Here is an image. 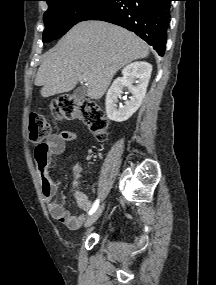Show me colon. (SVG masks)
Segmentation results:
<instances>
[{
	"label": "colon",
	"instance_id": "obj_1",
	"mask_svg": "<svg viewBox=\"0 0 216 285\" xmlns=\"http://www.w3.org/2000/svg\"><path fill=\"white\" fill-rule=\"evenodd\" d=\"M49 111L56 120H82L90 132L100 141H104L108 135V119L102 108L94 101L75 100L69 96H63L54 100ZM50 134L49 124L44 115L33 112L29 116V138L37 144V147L45 149Z\"/></svg>",
	"mask_w": 216,
	"mask_h": 285
}]
</instances>
